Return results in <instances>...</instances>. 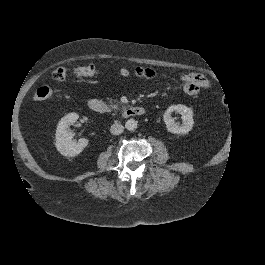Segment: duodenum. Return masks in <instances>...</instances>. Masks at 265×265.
Returning a JSON list of instances; mask_svg holds the SVG:
<instances>
[{
  "mask_svg": "<svg viewBox=\"0 0 265 265\" xmlns=\"http://www.w3.org/2000/svg\"><path fill=\"white\" fill-rule=\"evenodd\" d=\"M88 107L96 112V113H106L107 112V106L106 104L96 98H92L88 101ZM145 113V109L141 106H132L126 109L123 113L124 117H135V116H141Z\"/></svg>",
  "mask_w": 265,
  "mask_h": 265,
  "instance_id": "1",
  "label": "duodenum"
}]
</instances>
